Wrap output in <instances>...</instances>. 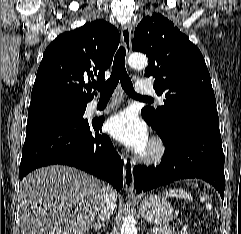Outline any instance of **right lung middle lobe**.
<instances>
[{"label":"right lung middle lobe","instance_id":"dd1d6c3e","mask_svg":"<svg viewBox=\"0 0 241 234\" xmlns=\"http://www.w3.org/2000/svg\"><path fill=\"white\" fill-rule=\"evenodd\" d=\"M87 104H77L63 101H49L30 105L28 122L40 119L81 118Z\"/></svg>","mask_w":241,"mask_h":234}]
</instances>
